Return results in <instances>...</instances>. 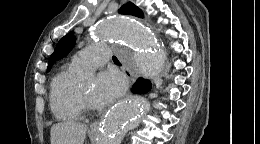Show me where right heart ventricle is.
Instances as JSON below:
<instances>
[{
  "label": "right heart ventricle",
  "mask_w": 260,
  "mask_h": 144,
  "mask_svg": "<svg viewBox=\"0 0 260 144\" xmlns=\"http://www.w3.org/2000/svg\"><path fill=\"white\" fill-rule=\"evenodd\" d=\"M81 68L74 63L64 65L54 76L50 89V106L57 119L62 121L79 120L83 106L79 100L77 74Z\"/></svg>",
  "instance_id": "e07e8e85"
}]
</instances>
